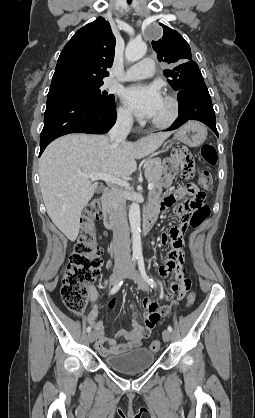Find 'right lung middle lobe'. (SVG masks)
<instances>
[{
  "instance_id": "obj_1",
  "label": "right lung middle lobe",
  "mask_w": 255,
  "mask_h": 418,
  "mask_svg": "<svg viewBox=\"0 0 255 418\" xmlns=\"http://www.w3.org/2000/svg\"><path fill=\"white\" fill-rule=\"evenodd\" d=\"M103 82H69L50 86L48 97L72 96L85 99L102 108H111L114 102L113 95L101 91Z\"/></svg>"
}]
</instances>
